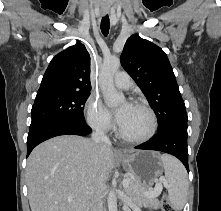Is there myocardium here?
<instances>
[{"label":"myocardium","instance_id":"obj_1","mask_svg":"<svg viewBox=\"0 0 221 211\" xmlns=\"http://www.w3.org/2000/svg\"><path fill=\"white\" fill-rule=\"evenodd\" d=\"M131 104H134V105H137V106L143 108L148 113V115L150 116V120H151L150 129L145 136L139 137V138H133V137H129V136L125 135L121 131L120 127H118V129H117V134L122 140L129 142V143H133V144L145 143V142L149 141L156 133V130H157L156 114L147 103H145L139 99L132 100Z\"/></svg>","mask_w":221,"mask_h":211}]
</instances>
